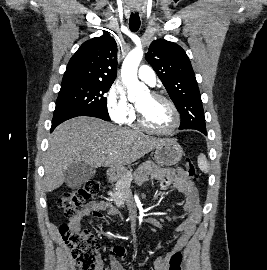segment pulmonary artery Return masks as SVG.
<instances>
[{"label":"pulmonary artery","mask_w":267,"mask_h":270,"mask_svg":"<svg viewBox=\"0 0 267 270\" xmlns=\"http://www.w3.org/2000/svg\"><path fill=\"white\" fill-rule=\"evenodd\" d=\"M138 77L145 83L153 86L156 82V75L153 69L147 65L140 66L138 70Z\"/></svg>","instance_id":"e3ab8cb5"}]
</instances>
